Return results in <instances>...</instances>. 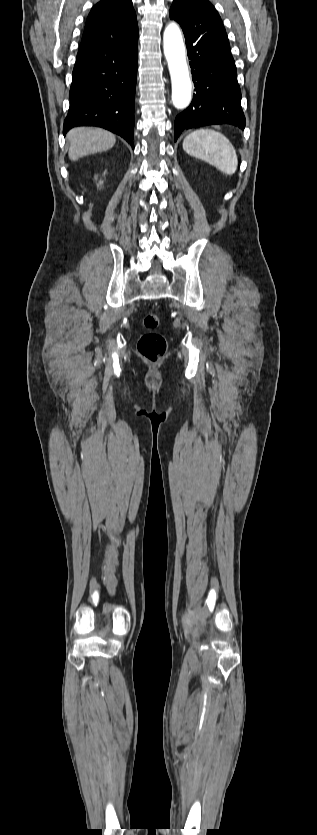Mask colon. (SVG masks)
Returning <instances> with one entry per match:
<instances>
[{
  "label": "colon",
  "instance_id": "1",
  "mask_svg": "<svg viewBox=\"0 0 317 835\" xmlns=\"http://www.w3.org/2000/svg\"><path fill=\"white\" fill-rule=\"evenodd\" d=\"M143 324L148 329L156 328L159 324V318L155 314H149L143 319ZM137 349L143 358L151 362H157L167 351L166 339L158 333H146L139 339Z\"/></svg>",
  "mask_w": 317,
  "mask_h": 835
}]
</instances>
